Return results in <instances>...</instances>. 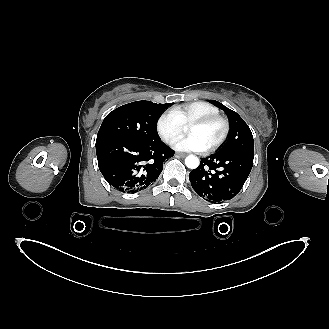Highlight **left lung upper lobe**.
Masks as SVG:
<instances>
[{
    "mask_svg": "<svg viewBox=\"0 0 329 329\" xmlns=\"http://www.w3.org/2000/svg\"><path fill=\"white\" fill-rule=\"evenodd\" d=\"M209 102L222 109L227 114L230 123L229 137L218 152L254 155V140L252 132L239 114L218 101L209 100Z\"/></svg>",
    "mask_w": 329,
    "mask_h": 329,
    "instance_id": "obj_1",
    "label": "left lung upper lobe"
}]
</instances>
